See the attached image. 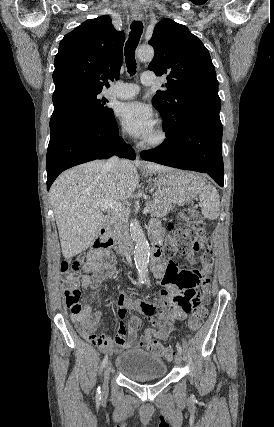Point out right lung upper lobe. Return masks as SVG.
I'll use <instances>...</instances> for the list:
<instances>
[{"mask_svg":"<svg viewBox=\"0 0 274 427\" xmlns=\"http://www.w3.org/2000/svg\"><path fill=\"white\" fill-rule=\"evenodd\" d=\"M125 34L104 15L82 23L64 36L55 57L53 103L69 94L100 93L118 79Z\"/></svg>","mask_w":274,"mask_h":427,"instance_id":"cb5924a9","label":"right lung upper lobe"}]
</instances>
